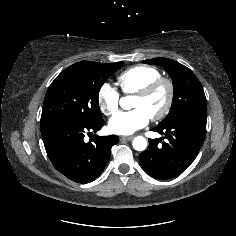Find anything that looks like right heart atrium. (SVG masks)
Here are the masks:
<instances>
[{"label": "right heart atrium", "mask_w": 236, "mask_h": 236, "mask_svg": "<svg viewBox=\"0 0 236 236\" xmlns=\"http://www.w3.org/2000/svg\"><path fill=\"white\" fill-rule=\"evenodd\" d=\"M97 101L101 112L111 116L118 110L120 94L111 84L103 83L98 90Z\"/></svg>", "instance_id": "right-heart-atrium-1"}]
</instances>
